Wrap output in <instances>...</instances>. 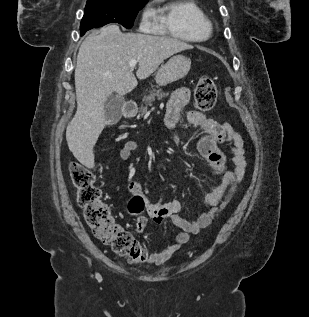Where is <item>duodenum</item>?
<instances>
[{"label":"duodenum","mask_w":309,"mask_h":317,"mask_svg":"<svg viewBox=\"0 0 309 317\" xmlns=\"http://www.w3.org/2000/svg\"><path fill=\"white\" fill-rule=\"evenodd\" d=\"M136 105L134 103H127L123 108V114L125 117H132L135 114Z\"/></svg>","instance_id":"410a0bca"}]
</instances>
